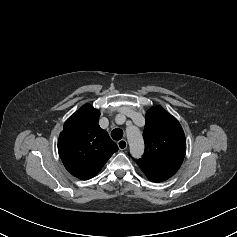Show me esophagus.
Listing matches in <instances>:
<instances>
[{"label":"esophagus","mask_w":237,"mask_h":237,"mask_svg":"<svg viewBox=\"0 0 237 237\" xmlns=\"http://www.w3.org/2000/svg\"><path fill=\"white\" fill-rule=\"evenodd\" d=\"M117 145L120 150H125L127 148V141L125 139H121L117 142Z\"/></svg>","instance_id":"34e87169"}]
</instances>
